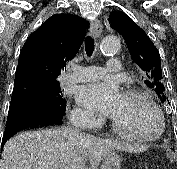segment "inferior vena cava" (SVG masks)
I'll return each mask as SVG.
<instances>
[{
    "instance_id": "602c4592",
    "label": "inferior vena cava",
    "mask_w": 177,
    "mask_h": 169,
    "mask_svg": "<svg viewBox=\"0 0 177 169\" xmlns=\"http://www.w3.org/2000/svg\"><path fill=\"white\" fill-rule=\"evenodd\" d=\"M85 120H87V118H86ZM79 125H80V124H79ZM71 130H73L74 132H80L77 128L71 129Z\"/></svg>"
}]
</instances>
